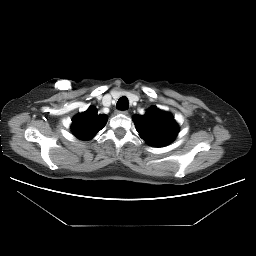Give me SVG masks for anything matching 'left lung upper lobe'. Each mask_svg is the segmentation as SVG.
<instances>
[{"label":"left lung upper lobe","instance_id":"5c2ea615","mask_svg":"<svg viewBox=\"0 0 256 256\" xmlns=\"http://www.w3.org/2000/svg\"><path fill=\"white\" fill-rule=\"evenodd\" d=\"M133 121L141 137L149 145L157 147L171 143L179 130L174 117L155 106L150 107L144 115H135Z\"/></svg>","mask_w":256,"mask_h":256}]
</instances>
